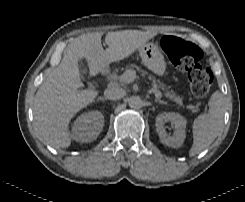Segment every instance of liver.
Here are the masks:
<instances>
[{
	"label": "liver",
	"mask_w": 245,
	"mask_h": 202,
	"mask_svg": "<svg viewBox=\"0 0 245 202\" xmlns=\"http://www.w3.org/2000/svg\"><path fill=\"white\" fill-rule=\"evenodd\" d=\"M155 35L139 30L108 32L106 50L98 32L70 42L61 62L42 82L34 98V124L44 141L56 149L69 147L71 119L98 96V91L81 89L80 59L87 60L90 75L95 76L108 64L129 57Z\"/></svg>",
	"instance_id": "1"
}]
</instances>
